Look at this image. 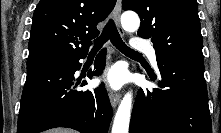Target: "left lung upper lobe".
I'll list each match as a JSON object with an SVG mask.
<instances>
[{"mask_svg":"<svg viewBox=\"0 0 221 133\" xmlns=\"http://www.w3.org/2000/svg\"><path fill=\"white\" fill-rule=\"evenodd\" d=\"M141 19L138 35L151 38L158 56L204 62L196 0H122Z\"/></svg>","mask_w":221,"mask_h":133,"instance_id":"5c2ea615","label":"left lung upper lobe"}]
</instances>
